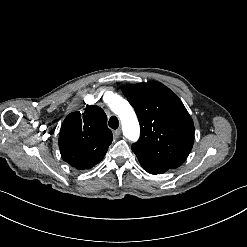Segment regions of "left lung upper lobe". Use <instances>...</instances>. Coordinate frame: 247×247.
I'll use <instances>...</instances> for the list:
<instances>
[{"instance_id": "left-lung-upper-lobe-1", "label": "left lung upper lobe", "mask_w": 247, "mask_h": 247, "mask_svg": "<svg viewBox=\"0 0 247 247\" xmlns=\"http://www.w3.org/2000/svg\"><path fill=\"white\" fill-rule=\"evenodd\" d=\"M134 107L141 135L132 145L135 154L175 169L188 157L194 142V124L181 100L165 85L150 81L122 89Z\"/></svg>"}]
</instances>
